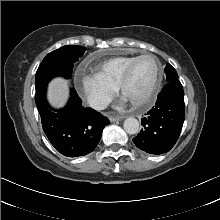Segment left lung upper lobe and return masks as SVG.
<instances>
[{
	"mask_svg": "<svg viewBox=\"0 0 220 220\" xmlns=\"http://www.w3.org/2000/svg\"><path fill=\"white\" fill-rule=\"evenodd\" d=\"M164 71L168 82L178 79L176 70L170 64L166 65Z\"/></svg>",
	"mask_w": 220,
	"mask_h": 220,
	"instance_id": "left-lung-upper-lobe-1",
	"label": "left lung upper lobe"
}]
</instances>
